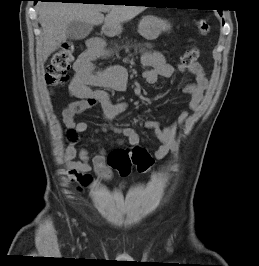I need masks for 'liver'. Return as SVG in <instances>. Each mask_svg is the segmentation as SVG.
<instances>
[{
  "label": "liver",
  "instance_id": "1",
  "mask_svg": "<svg viewBox=\"0 0 259 266\" xmlns=\"http://www.w3.org/2000/svg\"><path fill=\"white\" fill-rule=\"evenodd\" d=\"M39 23L43 29L40 56L48 57L66 42L67 26L73 21L91 25L104 22V29L116 27L130 21L145 10L144 6L104 5L84 3L43 2L37 6ZM108 11L106 17L102 12Z\"/></svg>",
  "mask_w": 259,
  "mask_h": 266
}]
</instances>
